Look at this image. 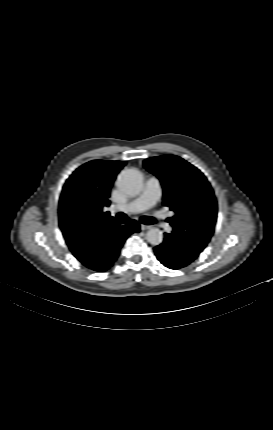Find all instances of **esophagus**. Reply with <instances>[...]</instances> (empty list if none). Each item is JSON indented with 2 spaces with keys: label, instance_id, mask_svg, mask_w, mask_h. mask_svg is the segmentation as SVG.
I'll list each match as a JSON object with an SVG mask.
<instances>
[{
  "label": "esophagus",
  "instance_id": "34e87169",
  "mask_svg": "<svg viewBox=\"0 0 273 430\" xmlns=\"http://www.w3.org/2000/svg\"><path fill=\"white\" fill-rule=\"evenodd\" d=\"M151 228V226L150 225H144V224H141V230H148V229H150Z\"/></svg>",
  "mask_w": 273,
  "mask_h": 430
}]
</instances>
